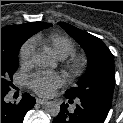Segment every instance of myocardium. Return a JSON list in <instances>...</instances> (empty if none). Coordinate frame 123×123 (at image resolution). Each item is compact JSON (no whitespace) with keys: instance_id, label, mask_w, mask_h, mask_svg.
I'll use <instances>...</instances> for the list:
<instances>
[{"instance_id":"f54148a6","label":"myocardium","mask_w":123,"mask_h":123,"mask_svg":"<svg viewBox=\"0 0 123 123\" xmlns=\"http://www.w3.org/2000/svg\"><path fill=\"white\" fill-rule=\"evenodd\" d=\"M66 67L74 75H80L85 69L84 61L79 57H71L66 62Z\"/></svg>"}]
</instances>
